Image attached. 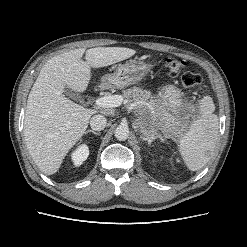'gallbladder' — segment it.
Returning <instances> with one entry per match:
<instances>
[{"mask_svg": "<svg viewBox=\"0 0 247 247\" xmlns=\"http://www.w3.org/2000/svg\"><path fill=\"white\" fill-rule=\"evenodd\" d=\"M64 94L70 98V99H73V100H76V101H79L81 103L84 102V97L82 95H80L79 93L73 91L72 89L66 87L64 89Z\"/></svg>", "mask_w": 247, "mask_h": 247, "instance_id": "1", "label": "gallbladder"}]
</instances>
